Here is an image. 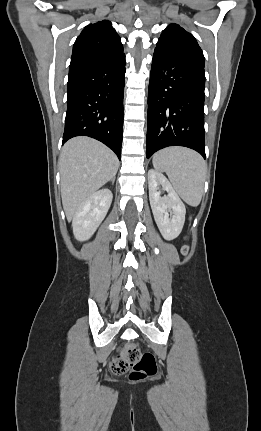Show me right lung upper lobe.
<instances>
[{
  "instance_id": "1",
  "label": "right lung upper lobe",
  "mask_w": 261,
  "mask_h": 431,
  "mask_svg": "<svg viewBox=\"0 0 261 431\" xmlns=\"http://www.w3.org/2000/svg\"><path fill=\"white\" fill-rule=\"evenodd\" d=\"M123 52L119 35L108 20L86 26L77 37L71 58L91 55H116Z\"/></svg>"
}]
</instances>
